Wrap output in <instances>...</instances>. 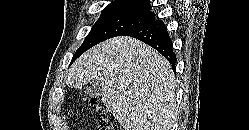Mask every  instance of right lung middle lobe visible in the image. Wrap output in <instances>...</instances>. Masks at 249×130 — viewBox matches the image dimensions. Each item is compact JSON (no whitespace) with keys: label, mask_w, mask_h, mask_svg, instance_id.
I'll list each match as a JSON object with an SVG mask.
<instances>
[{"label":"right lung middle lobe","mask_w":249,"mask_h":130,"mask_svg":"<svg viewBox=\"0 0 249 130\" xmlns=\"http://www.w3.org/2000/svg\"><path fill=\"white\" fill-rule=\"evenodd\" d=\"M154 20L155 14L151 11L129 6L108 5L74 54L72 62L94 45L123 35Z\"/></svg>","instance_id":"1"}]
</instances>
